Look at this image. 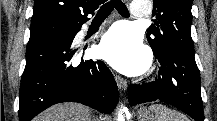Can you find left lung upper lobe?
<instances>
[{"label": "left lung upper lobe", "mask_w": 217, "mask_h": 121, "mask_svg": "<svg viewBox=\"0 0 217 121\" xmlns=\"http://www.w3.org/2000/svg\"><path fill=\"white\" fill-rule=\"evenodd\" d=\"M155 25L148 28L147 39L154 53L170 46L194 52L191 38L192 0H153Z\"/></svg>", "instance_id": "obj_1"}]
</instances>
